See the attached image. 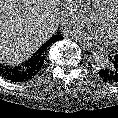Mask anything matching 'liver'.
<instances>
[{"instance_id": "liver-1", "label": "liver", "mask_w": 118, "mask_h": 118, "mask_svg": "<svg viewBox=\"0 0 118 118\" xmlns=\"http://www.w3.org/2000/svg\"><path fill=\"white\" fill-rule=\"evenodd\" d=\"M59 0H0V63L18 65L57 30Z\"/></svg>"}]
</instances>
